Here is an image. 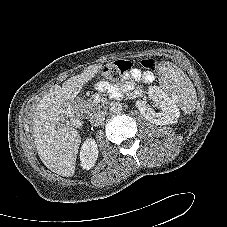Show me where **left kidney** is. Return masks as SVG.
<instances>
[{
  "label": "left kidney",
  "instance_id": "5707ae66",
  "mask_svg": "<svg viewBox=\"0 0 227 227\" xmlns=\"http://www.w3.org/2000/svg\"><path fill=\"white\" fill-rule=\"evenodd\" d=\"M148 96L161 110L155 112L146 100H137L139 112L151 123L156 125L174 124L178 121L180 112L175 101L158 86H150Z\"/></svg>",
  "mask_w": 227,
  "mask_h": 227
}]
</instances>
